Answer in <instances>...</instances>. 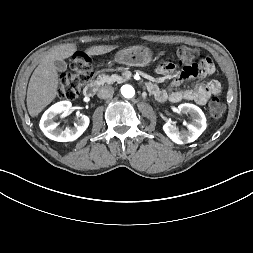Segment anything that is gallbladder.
I'll use <instances>...</instances> for the list:
<instances>
[{
    "instance_id": "obj_1",
    "label": "gallbladder",
    "mask_w": 253,
    "mask_h": 253,
    "mask_svg": "<svg viewBox=\"0 0 253 253\" xmlns=\"http://www.w3.org/2000/svg\"><path fill=\"white\" fill-rule=\"evenodd\" d=\"M54 65H55L57 71H59V72H64L67 69V64L63 60H56L54 62Z\"/></svg>"
}]
</instances>
